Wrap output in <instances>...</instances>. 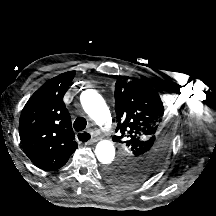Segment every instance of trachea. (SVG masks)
<instances>
[{
    "mask_svg": "<svg viewBox=\"0 0 216 216\" xmlns=\"http://www.w3.org/2000/svg\"><path fill=\"white\" fill-rule=\"evenodd\" d=\"M86 125H87L86 119L84 117H78L74 121L73 127L76 131H83L86 128ZM79 139L83 142H86L90 139V136L84 133L79 137Z\"/></svg>",
    "mask_w": 216,
    "mask_h": 216,
    "instance_id": "1",
    "label": "trachea"
}]
</instances>
